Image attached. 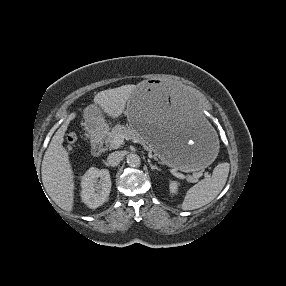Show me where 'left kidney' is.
Instances as JSON below:
<instances>
[{
    "instance_id": "left-kidney-1",
    "label": "left kidney",
    "mask_w": 286,
    "mask_h": 286,
    "mask_svg": "<svg viewBox=\"0 0 286 286\" xmlns=\"http://www.w3.org/2000/svg\"><path fill=\"white\" fill-rule=\"evenodd\" d=\"M169 188H170V192L172 194H176L177 191H178V182L176 181H171L170 182V185H169Z\"/></svg>"
}]
</instances>
